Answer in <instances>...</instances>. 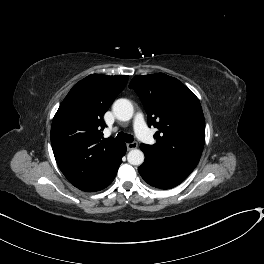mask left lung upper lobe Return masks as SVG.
Here are the masks:
<instances>
[{
    "mask_svg": "<svg viewBox=\"0 0 264 264\" xmlns=\"http://www.w3.org/2000/svg\"><path fill=\"white\" fill-rule=\"evenodd\" d=\"M129 88L140 97L148 125L158 129L154 145L140 148L158 161L193 171L205 143V120L198 98L178 79L163 73L135 76Z\"/></svg>",
    "mask_w": 264,
    "mask_h": 264,
    "instance_id": "obj_1",
    "label": "left lung upper lobe"
}]
</instances>
